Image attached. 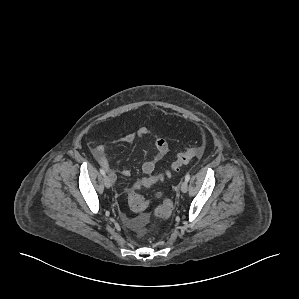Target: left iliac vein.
<instances>
[{"label":"left iliac vein","mask_w":299,"mask_h":299,"mask_svg":"<svg viewBox=\"0 0 299 299\" xmlns=\"http://www.w3.org/2000/svg\"><path fill=\"white\" fill-rule=\"evenodd\" d=\"M187 190H188V183H187L186 180H184V181L181 183V191H182L183 193H186Z\"/></svg>","instance_id":"obj_1"}]
</instances>
